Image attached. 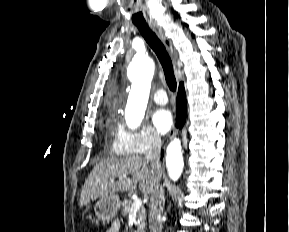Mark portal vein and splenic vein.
Segmentation results:
<instances>
[{
	"mask_svg": "<svg viewBox=\"0 0 289 232\" xmlns=\"http://www.w3.org/2000/svg\"><path fill=\"white\" fill-rule=\"evenodd\" d=\"M120 179H122V177H120ZM111 182H113L114 180L111 179ZM142 206V200L137 198L133 201L131 209H130V213L135 212L137 210H139V208Z\"/></svg>",
	"mask_w": 289,
	"mask_h": 232,
	"instance_id": "obj_1",
	"label": "portal vein and splenic vein"
}]
</instances>
